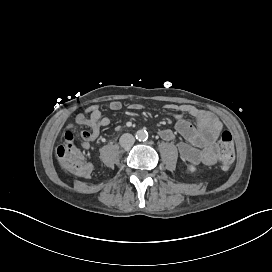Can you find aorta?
<instances>
[{
  "mask_svg": "<svg viewBox=\"0 0 272 272\" xmlns=\"http://www.w3.org/2000/svg\"><path fill=\"white\" fill-rule=\"evenodd\" d=\"M147 138H148V133L146 130L141 129L136 132V139L137 140L145 141V140H147Z\"/></svg>",
  "mask_w": 272,
  "mask_h": 272,
  "instance_id": "1",
  "label": "aorta"
}]
</instances>
